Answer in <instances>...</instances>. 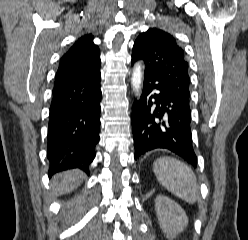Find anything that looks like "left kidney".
Instances as JSON below:
<instances>
[{"mask_svg": "<svg viewBox=\"0 0 248 240\" xmlns=\"http://www.w3.org/2000/svg\"><path fill=\"white\" fill-rule=\"evenodd\" d=\"M155 209L161 229L173 239L188 225V217L182 207L169 197L159 195L155 199Z\"/></svg>", "mask_w": 248, "mask_h": 240, "instance_id": "1", "label": "left kidney"}]
</instances>
